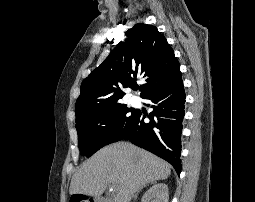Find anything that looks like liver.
<instances>
[{
	"label": "liver",
	"mask_w": 255,
	"mask_h": 202,
	"mask_svg": "<svg viewBox=\"0 0 255 202\" xmlns=\"http://www.w3.org/2000/svg\"><path fill=\"white\" fill-rule=\"evenodd\" d=\"M171 166L159 157L128 142H117L100 149L85 161L71 179L70 195L98 197L112 184L115 202H130L142 186L164 180Z\"/></svg>",
	"instance_id": "liver-1"
}]
</instances>
